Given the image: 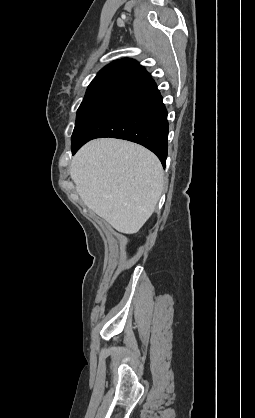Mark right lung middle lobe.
<instances>
[{
    "label": "right lung middle lobe",
    "mask_w": 255,
    "mask_h": 418,
    "mask_svg": "<svg viewBox=\"0 0 255 418\" xmlns=\"http://www.w3.org/2000/svg\"><path fill=\"white\" fill-rule=\"evenodd\" d=\"M124 87L111 84L89 85L86 95L77 111L76 124L72 134V144L75 143L94 115Z\"/></svg>",
    "instance_id": "obj_1"
}]
</instances>
